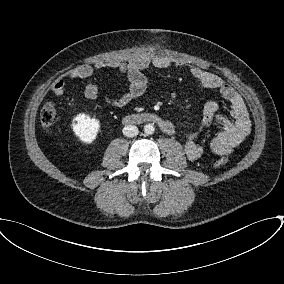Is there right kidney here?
<instances>
[{"instance_id":"right-kidney-1","label":"right kidney","mask_w":284,"mask_h":284,"mask_svg":"<svg viewBox=\"0 0 284 284\" xmlns=\"http://www.w3.org/2000/svg\"><path fill=\"white\" fill-rule=\"evenodd\" d=\"M72 129L81 142L90 144L96 139L100 131V121L87 114L80 113L74 117Z\"/></svg>"}]
</instances>
